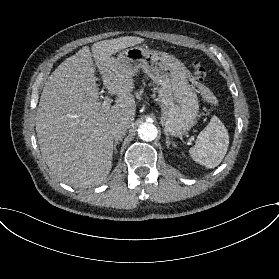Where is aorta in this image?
<instances>
[{
  "label": "aorta",
  "instance_id": "762f6f07",
  "mask_svg": "<svg viewBox=\"0 0 279 279\" xmlns=\"http://www.w3.org/2000/svg\"><path fill=\"white\" fill-rule=\"evenodd\" d=\"M158 130L152 123H143L138 127V136L143 141H152L157 137Z\"/></svg>",
  "mask_w": 279,
  "mask_h": 279
}]
</instances>
